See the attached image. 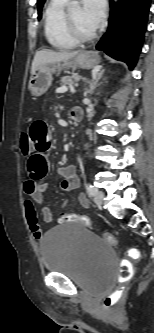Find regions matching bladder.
Wrapping results in <instances>:
<instances>
[{"instance_id":"1","label":"bladder","mask_w":154,"mask_h":333,"mask_svg":"<svg viewBox=\"0 0 154 333\" xmlns=\"http://www.w3.org/2000/svg\"><path fill=\"white\" fill-rule=\"evenodd\" d=\"M44 269L62 273L83 286L111 285L116 266L113 248L80 223L48 230L39 242Z\"/></svg>"}]
</instances>
